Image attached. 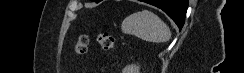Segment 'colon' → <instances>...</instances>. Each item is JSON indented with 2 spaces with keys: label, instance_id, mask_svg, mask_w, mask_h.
I'll return each instance as SVG.
<instances>
[{
  "label": "colon",
  "instance_id": "obj_1",
  "mask_svg": "<svg viewBox=\"0 0 244 73\" xmlns=\"http://www.w3.org/2000/svg\"><path fill=\"white\" fill-rule=\"evenodd\" d=\"M88 36L86 34H81L74 45V51L78 55H84L87 51V45H88ZM96 41L101 47L102 50L109 51L114 49L116 44V39L114 36L109 35L103 31H100L96 35Z\"/></svg>",
  "mask_w": 244,
  "mask_h": 73
}]
</instances>
